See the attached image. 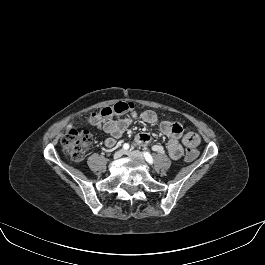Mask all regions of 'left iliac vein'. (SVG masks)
I'll return each mask as SVG.
<instances>
[{"instance_id": "obj_1", "label": "left iliac vein", "mask_w": 265, "mask_h": 265, "mask_svg": "<svg viewBox=\"0 0 265 265\" xmlns=\"http://www.w3.org/2000/svg\"><path fill=\"white\" fill-rule=\"evenodd\" d=\"M126 155L132 157V158H136L139 160H144V156L140 151H136V150H129L125 152Z\"/></svg>"}]
</instances>
